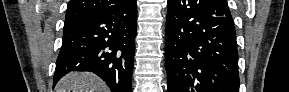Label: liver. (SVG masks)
<instances>
[{"mask_svg":"<svg viewBox=\"0 0 289 92\" xmlns=\"http://www.w3.org/2000/svg\"><path fill=\"white\" fill-rule=\"evenodd\" d=\"M56 92H108L105 83L96 75L73 72L65 75L56 85Z\"/></svg>","mask_w":289,"mask_h":92,"instance_id":"1","label":"liver"}]
</instances>
